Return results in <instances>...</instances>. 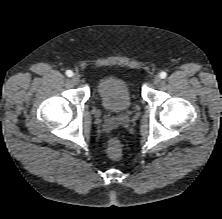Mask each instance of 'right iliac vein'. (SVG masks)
Segmentation results:
<instances>
[{
    "mask_svg": "<svg viewBox=\"0 0 222 219\" xmlns=\"http://www.w3.org/2000/svg\"><path fill=\"white\" fill-rule=\"evenodd\" d=\"M71 80L74 84H78L79 81H80V77L78 74H74L72 77H71Z\"/></svg>",
    "mask_w": 222,
    "mask_h": 219,
    "instance_id": "right-iliac-vein-1",
    "label": "right iliac vein"
}]
</instances>
